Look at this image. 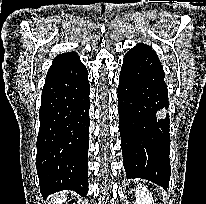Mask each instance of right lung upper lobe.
Masks as SVG:
<instances>
[{"instance_id": "right-lung-upper-lobe-1", "label": "right lung upper lobe", "mask_w": 206, "mask_h": 204, "mask_svg": "<svg viewBox=\"0 0 206 204\" xmlns=\"http://www.w3.org/2000/svg\"><path fill=\"white\" fill-rule=\"evenodd\" d=\"M77 60H79L77 53L71 52L60 54L53 60L48 73L64 68Z\"/></svg>"}]
</instances>
